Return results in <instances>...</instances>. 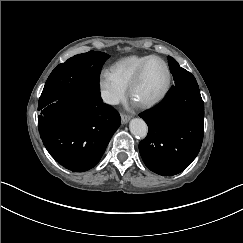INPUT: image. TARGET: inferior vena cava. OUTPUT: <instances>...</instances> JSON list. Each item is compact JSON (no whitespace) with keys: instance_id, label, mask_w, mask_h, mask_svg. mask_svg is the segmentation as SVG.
<instances>
[{"instance_id":"1","label":"inferior vena cava","mask_w":243,"mask_h":243,"mask_svg":"<svg viewBox=\"0 0 243 243\" xmlns=\"http://www.w3.org/2000/svg\"><path fill=\"white\" fill-rule=\"evenodd\" d=\"M101 95H102L104 102H106L108 104H112V105L119 104V99L114 94H112L110 91L104 90L101 92Z\"/></svg>"}]
</instances>
